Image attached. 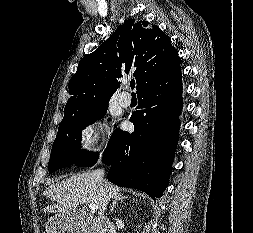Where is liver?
<instances>
[{
	"label": "liver",
	"mask_w": 253,
	"mask_h": 233,
	"mask_svg": "<svg viewBox=\"0 0 253 233\" xmlns=\"http://www.w3.org/2000/svg\"><path fill=\"white\" fill-rule=\"evenodd\" d=\"M43 196L57 202L45 207L44 212L75 213L77 215L79 205L95 204L99 217L103 218L109 200L121 196V194L118 186L107 180L100 183L95 179L92 172H85L49 186L43 192Z\"/></svg>",
	"instance_id": "liver-1"
}]
</instances>
